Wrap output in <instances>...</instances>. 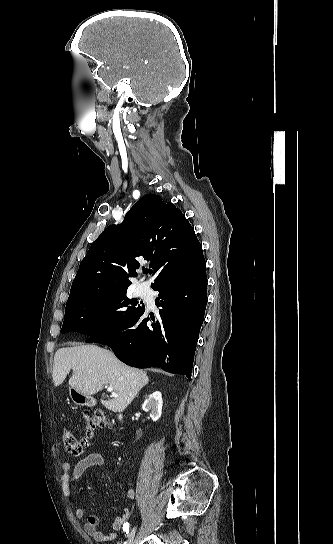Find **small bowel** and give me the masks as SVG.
<instances>
[{
    "label": "small bowel",
    "mask_w": 333,
    "mask_h": 544,
    "mask_svg": "<svg viewBox=\"0 0 333 544\" xmlns=\"http://www.w3.org/2000/svg\"><path fill=\"white\" fill-rule=\"evenodd\" d=\"M104 464V458L99 453H91L86 457L79 460L74 466L68 462L62 464L61 484L64 497L69 498L71 495L72 484L78 480L89 468L99 467ZM128 499L135 498V490L130 488L126 491ZM131 511L129 508H125L123 513L117 516L112 525V531L110 533H104L98 528L100 523V517L95 514L86 516L83 508H77L75 510V517L77 519H84V529L87 534L92 536L96 541L105 542L115 539L116 532L119 531L130 517Z\"/></svg>",
    "instance_id": "c3829d8e"
}]
</instances>
